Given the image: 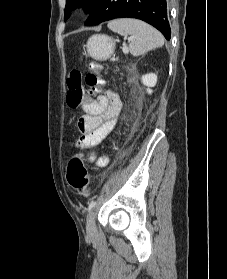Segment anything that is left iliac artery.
<instances>
[{
  "mask_svg": "<svg viewBox=\"0 0 227 279\" xmlns=\"http://www.w3.org/2000/svg\"><path fill=\"white\" fill-rule=\"evenodd\" d=\"M95 205H96V201H92V202L89 204V210H91Z\"/></svg>",
  "mask_w": 227,
  "mask_h": 279,
  "instance_id": "44dca946",
  "label": "left iliac artery"
}]
</instances>
